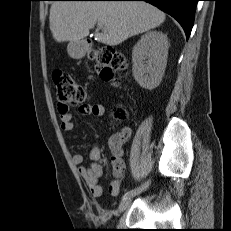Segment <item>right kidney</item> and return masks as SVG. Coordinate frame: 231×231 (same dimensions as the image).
Returning a JSON list of instances; mask_svg holds the SVG:
<instances>
[{"label": "right kidney", "instance_id": "obj_1", "mask_svg": "<svg viewBox=\"0 0 231 231\" xmlns=\"http://www.w3.org/2000/svg\"><path fill=\"white\" fill-rule=\"evenodd\" d=\"M168 57V40L162 32L144 34L133 48V76L145 89L159 85L165 72Z\"/></svg>", "mask_w": 231, "mask_h": 231}]
</instances>
